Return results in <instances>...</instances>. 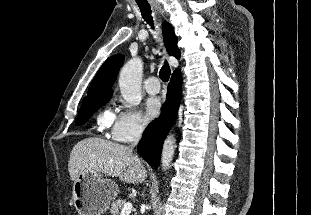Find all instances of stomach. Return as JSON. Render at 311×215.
<instances>
[{"label": "stomach", "mask_w": 311, "mask_h": 215, "mask_svg": "<svg viewBox=\"0 0 311 215\" xmlns=\"http://www.w3.org/2000/svg\"><path fill=\"white\" fill-rule=\"evenodd\" d=\"M118 191L117 184L100 173L82 172L73 184V203L80 215H101Z\"/></svg>", "instance_id": "0dacf381"}]
</instances>
